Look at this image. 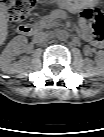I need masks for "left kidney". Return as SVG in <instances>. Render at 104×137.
I'll list each match as a JSON object with an SVG mask.
<instances>
[{
    "label": "left kidney",
    "mask_w": 104,
    "mask_h": 137,
    "mask_svg": "<svg viewBox=\"0 0 104 137\" xmlns=\"http://www.w3.org/2000/svg\"><path fill=\"white\" fill-rule=\"evenodd\" d=\"M98 54H99V58L96 60V63H97L98 69L102 70L103 69V63H104L103 53L99 52Z\"/></svg>",
    "instance_id": "1"
}]
</instances>
